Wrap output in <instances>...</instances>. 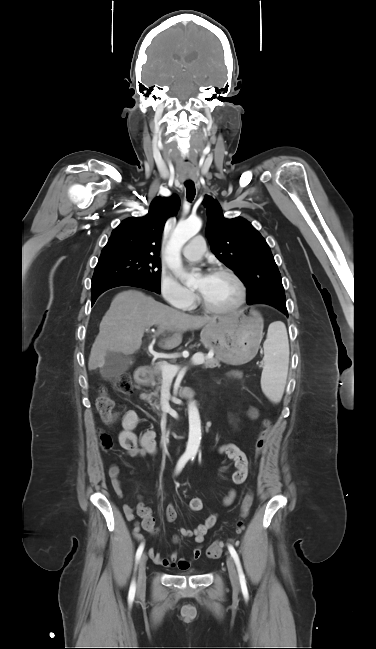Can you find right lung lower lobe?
Segmentation results:
<instances>
[{
  "instance_id": "right-lung-lower-lobe-1",
  "label": "right lung lower lobe",
  "mask_w": 376,
  "mask_h": 649,
  "mask_svg": "<svg viewBox=\"0 0 376 649\" xmlns=\"http://www.w3.org/2000/svg\"><path fill=\"white\" fill-rule=\"evenodd\" d=\"M122 285L139 287V288H143V289H146V290H149V291H152V292H156V290L152 286H150L148 284H145V283H141V282H133V281L121 282V281H113V280L106 281V282H102L100 284H97V285L91 287V302H92V305L94 304V302L96 301V299L98 298V296L100 294H102L103 292H105L106 290H108L110 288H114V287L122 286Z\"/></svg>"
}]
</instances>
